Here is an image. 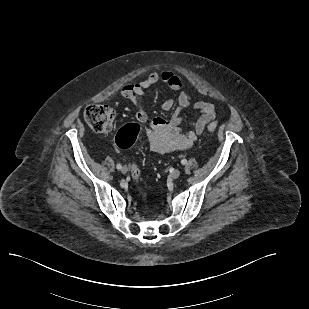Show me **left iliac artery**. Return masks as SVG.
<instances>
[{
	"instance_id": "left-iliac-artery-1",
	"label": "left iliac artery",
	"mask_w": 309,
	"mask_h": 309,
	"mask_svg": "<svg viewBox=\"0 0 309 309\" xmlns=\"http://www.w3.org/2000/svg\"><path fill=\"white\" fill-rule=\"evenodd\" d=\"M181 164H183V165L187 164V160L186 159H182L181 160Z\"/></svg>"
}]
</instances>
